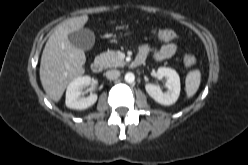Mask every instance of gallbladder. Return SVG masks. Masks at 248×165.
<instances>
[{"label":"gallbladder","instance_id":"bac80fb5","mask_svg":"<svg viewBox=\"0 0 248 165\" xmlns=\"http://www.w3.org/2000/svg\"><path fill=\"white\" fill-rule=\"evenodd\" d=\"M68 39L72 45L82 49L89 50L95 42L94 33L90 29H80L69 33Z\"/></svg>","mask_w":248,"mask_h":165}]
</instances>
